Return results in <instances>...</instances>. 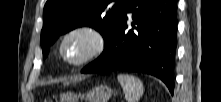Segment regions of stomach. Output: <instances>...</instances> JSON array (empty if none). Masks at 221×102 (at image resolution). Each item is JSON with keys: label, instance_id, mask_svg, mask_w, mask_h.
<instances>
[{"label": "stomach", "instance_id": "1", "mask_svg": "<svg viewBox=\"0 0 221 102\" xmlns=\"http://www.w3.org/2000/svg\"><path fill=\"white\" fill-rule=\"evenodd\" d=\"M112 95V90L106 85H101L92 88L87 94H76L73 92H66L60 95L61 102H78V100L85 99L86 102H107Z\"/></svg>", "mask_w": 221, "mask_h": 102}]
</instances>
